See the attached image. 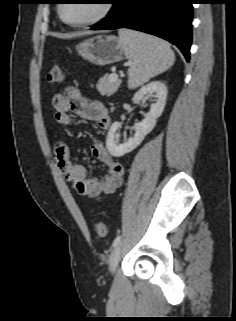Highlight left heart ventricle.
I'll use <instances>...</instances> for the list:
<instances>
[{"instance_id":"obj_1","label":"left heart ventricle","mask_w":236,"mask_h":321,"mask_svg":"<svg viewBox=\"0 0 236 321\" xmlns=\"http://www.w3.org/2000/svg\"><path fill=\"white\" fill-rule=\"evenodd\" d=\"M99 0H74L65 3L62 13L68 21H82L94 17L101 9Z\"/></svg>"}]
</instances>
